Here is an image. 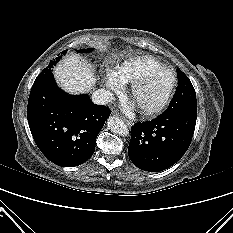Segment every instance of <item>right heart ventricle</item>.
Segmentation results:
<instances>
[{"label": "right heart ventricle", "mask_w": 233, "mask_h": 233, "mask_svg": "<svg viewBox=\"0 0 233 233\" xmlns=\"http://www.w3.org/2000/svg\"><path fill=\"white\" fill-rule=\"evenodd\" d=\"M162 64L155 58L149 56L130 58L122 62L116 69L123 84L133 83L146 71L161 67Z\"/></svg>", "instance_id": "e07e8e85"}]
</instances>
